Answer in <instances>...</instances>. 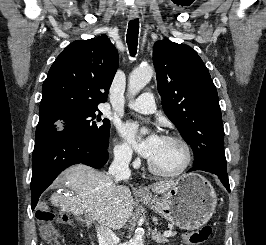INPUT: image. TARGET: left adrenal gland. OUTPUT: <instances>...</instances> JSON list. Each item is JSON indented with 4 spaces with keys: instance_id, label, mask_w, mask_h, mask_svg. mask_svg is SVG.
Here are the masks:
<instances>
[{
    "instance_id": "obj_1",
    "label": "left adrenal gland",
    "mask_w": 266,
    "mask_h": 245,
    "mask_svg": "<svg viewBox=\"0 0 266 245\" xmlns=\"http://www.w3.org/2000/svg\"><path fill=\"white\" fill-rule=\"evenodd\" d=\"M152 239H154L156 243H168V239H165V237H162V235H160L157 229H155L154 233H152Z\"/></svg>"
}]
</instances>
